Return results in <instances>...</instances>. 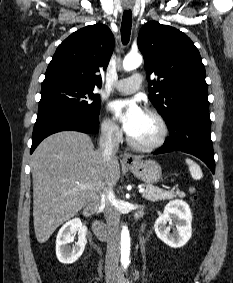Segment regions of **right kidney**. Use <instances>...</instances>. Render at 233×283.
<instances>
[{
    "mask_svg": "<svg viewBox=\"0 0 233 283\" xmlns=\"http://www.w3.org/2000/svg\"><path fill=\"white\" fill-rule=\"evenodd\" d=\"M78 232V241L71 248L69 243L73 241L72 234ZM87 227L79 218L66 222L59 230L56 237V256L63 264H72L82 255L85 245Z\"/></svg>",
    "mask_w": 233,
    "mask_h": 283,
    "instance_id": "1",
    "label": "right kidney"
}]
</instances>
